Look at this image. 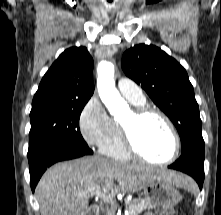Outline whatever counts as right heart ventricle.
<instances>
[{"mask_svg": "<svg viewBox=\"0 0 221 215\" xmlns=\"http://www.w3.org/2000/svg\"><path fill=\"white\" fill-rule=\"evenodd\" d=\"M135 106L145 105V101L134 102L129 100ZM100 152L108 157L117 160H130L131 155L126 151L120 131V123L112 119V130L109 137L99 146Z\"/></svg>", "mask_w": 221, "mask_h": 215, "instance_id": "1", "label": "right heart ventricle"}]
</instances>
